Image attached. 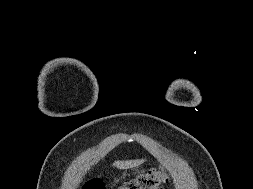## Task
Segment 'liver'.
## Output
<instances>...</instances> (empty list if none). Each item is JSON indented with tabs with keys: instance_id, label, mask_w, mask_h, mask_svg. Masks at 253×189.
<instances>
[{
	"instance_id": "1",
	"label": "liver",
	"mask_w": 253,
	"mask_h": 189,
	"mask_svg": "<svg viewBox=\"0 0 253 189\" xmlns=\"http://www.w3.org/2000/svg\"><path fill=\"white\" fill-rule=\"evenodd\" d=\"M143 162H144L143 159H141V160L115 161L114 166L119 168V169H128V168H133V167L139 166Z\"/></svg>"
}]
</instances>
